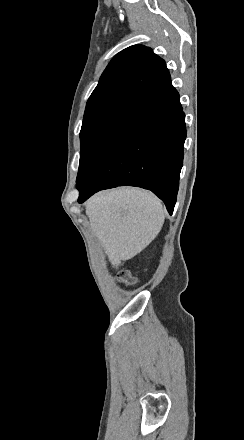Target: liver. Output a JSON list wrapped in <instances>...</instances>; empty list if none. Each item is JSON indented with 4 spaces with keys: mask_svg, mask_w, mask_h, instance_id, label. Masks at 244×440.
<instances>
[{
    "mask_svg": "<svg viewBox=\"0 0 244 440\" xmlns=\"http://www.w3.org/2000/svg\"><path fill=\"white\" fill-rule=\"evenodd\" d=\"M85 210L92 232L116 270L155 240L165 220L161 200L140 188L99 192L87 200Z\"/></svg>",
    "mask_w": 244,
    "mask_h": 440,
    "instance_id": "obj_1",
    "label": "liver"
}]
</instances>
